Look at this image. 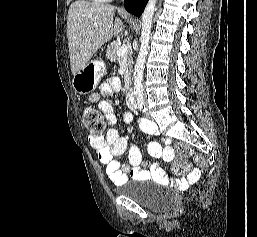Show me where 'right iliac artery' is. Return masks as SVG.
<instances>
[{"label": "right iliac artery", "instance_id": "obj_1", "mask_svg": "<svg viewBox=\"0 0 257 237\" xmlns=\"http://www.w3.org/2000/svg\"><path fill=\"white\" fill-rule=\"evenodd\" d=\"M138 107H139V110L141 112L144 113L146 111V107H145V104L143 102L138 103Z\"/></svg>", "mask_w": 257, "mask_h": 237}]
</instances>
